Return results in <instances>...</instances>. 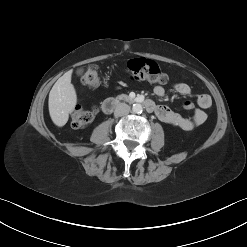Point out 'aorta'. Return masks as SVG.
Segmentation results:
<instances>
[{"label": "aorta", "instance_id": "obj_1", "mask_svg": "<svg viewBox=\"0 0 247 247\" xmlns=\"http://www.w3.org/2000/svg\"><path fill=\"white\" fill-rule=\"evenodd\" d=\"M142 105L141 104H139V103H135V104H133V106H132V111H133V113H141L142 112Z\"/></svg>", "mask_w": 247, "mask_h": 247}]
</instances>
